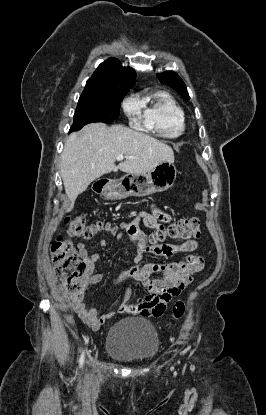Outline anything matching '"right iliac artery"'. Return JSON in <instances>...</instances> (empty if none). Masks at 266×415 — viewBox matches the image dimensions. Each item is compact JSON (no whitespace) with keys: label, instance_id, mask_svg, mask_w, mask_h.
I'll use <instances>...</instances> for the list:
<instances>
[{"label":"right iliac artery","instance_id":"82829eb1","mask_svg":"<svg viewBox=\"0 0 266 415\" xmlns=\"http://www.w3.org/2000/svg\"><path fill=\"white\" fill-rule=\"evenodd\" d=\"M79 363H80V367H81V366L83 365V363H84V352L82 353V355H81V357H80Z\"/></svg>","mask_w":266,"mask_h":415}]
</instances>
